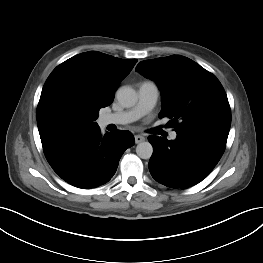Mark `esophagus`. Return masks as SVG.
Wrapping results in <instances>:
<instances>
[{"mask_svg": "<svg viewBox=\"0 0 263 263\" xmlns=\"http://www.w3.org/2000/svg\"><path fill=\"white\" fill-rule=\"evenodd\" d=\"M145 140L144 136L142 135H136L135 136V142L138 144V143H141Z\"/></svg>", "mask_w": 263, "mask_h": 263, "instance_id": "1", "label": "esophagus"}]
</instances>
